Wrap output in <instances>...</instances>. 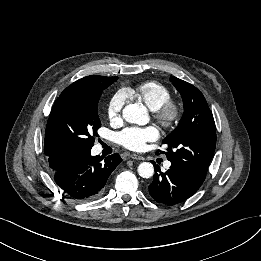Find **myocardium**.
Wrapping results in <instances>:
<instances>
[{
  "label": "myocardium",
  "mask_w": 261,
  "mask_h": 261,
  "mask_svg": "<svg viewBox=\"0 0 261 261\" xmlns=\"http://www.w3.org/2000/svg\"><path fill=\"white\" fill-rule=\"evenodd\" d=\"M180 103L170 97L157 110L153 111V118L164 129L174 128L181 118Z\"/></svg>",
  "instance_id": "myocardium-1"
}]
</instances>
